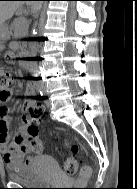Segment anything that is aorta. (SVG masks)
I'll return each instance as SVG.
<instances>
[{
  "instance_id": "1",
  "label": "aorta",
  "mask_w": 137,
  "mask_h": 189,
  "mask_svg": "<svg viewBox=\"0 0 137 189\" xmlns=\"http://www.w3.org/2000/svg\"><path fill=\"white\" fill-rule=\"evenodd\" d=\"M34 38H35V36H34ZM34 41H35V39H34ZM36 46H37V44L35 42L31 44L32 51L36 50ZM31 69H32V71H31L32 73L31 74L34 75L33 76V78H34L33 81L34 82H42L43 81L41 79L42 78V76H41L42 74L37 71L38 65L36 63H34Z\"/></svg>"
}]
</instances>
